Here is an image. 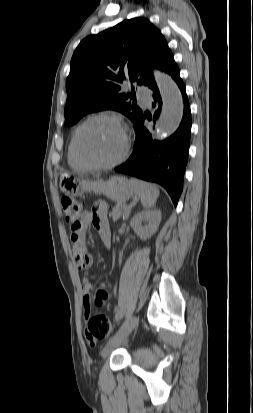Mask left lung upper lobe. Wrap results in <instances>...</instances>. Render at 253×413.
Returning <instances> with one entry per match:
<instances>
[{"instance_id": "left-lung-upper-lobe-1", "label": "left lung upper lobe", "mask_w": 253, "mask_h": 413, "mask_svg": "<svg viewBox=\"0 0 253 413\" xmlns=\"http://www.w3.org/2000/svg\"><path fill=\"white\" fill-rule=\"evenodd\" d=\"M171 50L161 32L146 18L124 20L97 35L83 39L71 59L67 77L65 123L105 109L125 114L133 123L142 114L134 88L126 93L123 81L150 87L152 68L164 71Z\"/></svg>"}]
</instances>
